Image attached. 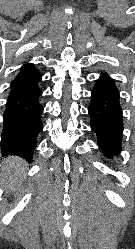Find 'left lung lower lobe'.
Instances as JSON below:
<instances>
[{"instance_id":"1","label":"left lung lower lobe","mask_w":135,"mask_h":249,"mask_svg":"<svg viewBox=\"0 0 135 249\" xmlns=\"http://www.w3.org/2000/svg\"><path fill=\"white\" fill-rule=\"evenodd\" d=\"M90 126L97 135V144L108 158L118 156L123 136V114L115 80L101 73L91 91L88 107Z\"/></svg>"}]
</instances>
